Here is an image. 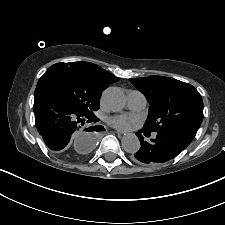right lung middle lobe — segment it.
<instances>
[{"instance_id":"obj_1","label":"right lung middle lobe","mask_w":225,"mask_h":225,"mask_svg":"<svg viewBox=\"0 0 225 225\" xmlns=\"http://www.w3.org/2000/svg\"><path fill=\"white\" fill-rule=\"evenodd\" d=\"M36 88H43L59 96L82 114L96 117L101 90L80 69L69 63H57L42 75Z\"/></svg>"}]
</instances>
